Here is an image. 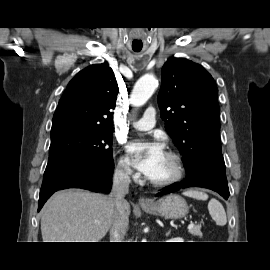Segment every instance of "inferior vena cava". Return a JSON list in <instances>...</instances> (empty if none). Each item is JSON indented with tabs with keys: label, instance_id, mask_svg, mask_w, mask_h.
<instances>
[{
	"label": "inferior vena cava",
	"instance_id": "obj_1",
	"mask_svg": "<svg viewBox=\"0 0 270 270\" xmlns=\"http://www.w3.org/2000/svg\"><path fill=\"white\" fill-rule=\"evenodd\" d=\"M130 168L127 165H120L114 172L113 185L110 195L114 198L115 210L110 229L111 242H123L128 231V215L126 213L125 195L129 192Z\"/></svg>",
	"mask_w": 270,
	"mask_h": 270
}]
</instances>
